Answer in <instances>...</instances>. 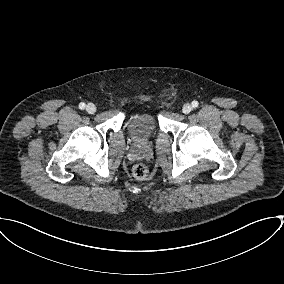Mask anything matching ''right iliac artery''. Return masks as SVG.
I'll list each match as a JSON object with an SVG mask.
<instances>
[{
	"label": "right iliac artery",
	"mask_w": 284,
	"mask_h": 284,
	"mask_svg": "<svg viewBox=\"0 0 284 284\" xmlns=\"http://www.w3.org/2000/svg\"><path fill=\"white\" fill-rule=\"evenodd\" d=\"M79 108H80V109H84V108H85V103L81 102V103L79 104Z\"/></svg>",
	"instance_id": "right-iliac-artery-1"
}]
</instances>
